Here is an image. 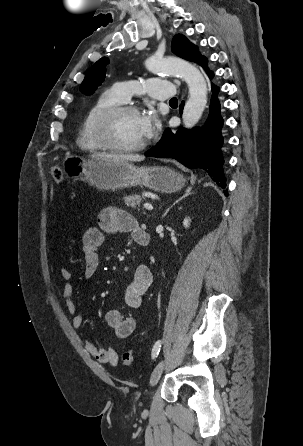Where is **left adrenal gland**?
<instances>
[{
    "label": "left adrenal gland",
    "instance_id": "a2214340",
    "mask_svg": "<svg viewBox=\"0 0 303 446\" xmlns=\"http://www.w3.org/2000/svg\"><path fill=\"white\" fill-rule=\"evenodd\" d=\"M191 190H192L191 188H187L186 191H185V193H184V195L181 196L178 200H176L170 207H168V208L166 209V211L164 212V214L162 215V217H165V216L167 215V213L169 212V210H170L175 204H177L180 200H182L183 198H185V197L191 195V194H192Z\"/></svg>",
    "mask_w": 303,
    "mask_h": 446
}]
</instances>
